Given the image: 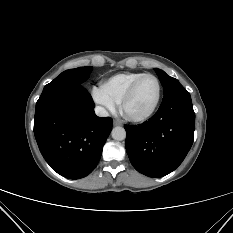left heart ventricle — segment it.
Returning a JSON list of instances; mask_svg holds the SVG:
<instances>
[{"label":"left heart ventricle","instance_id":"b2bd125f","mask_svg":"<svg viewBox=\"0 0 233 233\" xmlns=\"http://www.w3.org/2000/svg\"><path fill=\"white\" fill-rule=\"evenodd\" d=\"M157 97V84L152 78L143 79L138 85L133 97L126 106L129 114L146 113L153 106Z\"/></svg>","mask_w":233,"mask_h":233}]
</instances>
